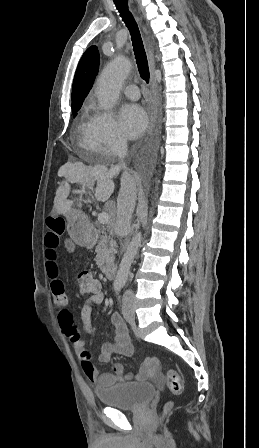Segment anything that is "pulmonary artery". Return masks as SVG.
<instances>
[{
    "label": "pulmonary artery",
    "mask_w": 259,
    "mask_h": 448,
    "mask_svg": "<svg viewBox=\"0 0 259 448\" xmlns=\"http://www.w3.org/2000/svg\"><path fill=\"white\" fill-rule=\"evenodd\" d=\"M115 63L118 67V71L122 75L129 74L132 67V62L128 57H119L115 60ZM120 91L132 100H137L140 97L139 92H137V87L133 84L123 85L120 88Z\"/></svg>",
    "instance_id": "pulmonary-artery-1"
}]
</instances>
